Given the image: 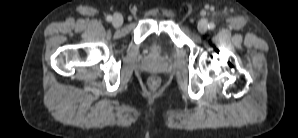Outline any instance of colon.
I'll return each mask as SVG.
<instances>
[{
  "label": "colon",
  "mask_w": 298,
  "mask_h": 138,
  "mask_svg": "<svg viewBox=\"0 0 298 138\" xmlns=\"http://www.w3.org/2000/svg\"><path fill=\"white\" fill-rule=\"evenodd\" d=\"M149 83L152 87H156L158 84H159V79L156 78V77H152L150 80H149Z\"/></svg>",
  "instance_id": "colon-1"
}]
</instances>
